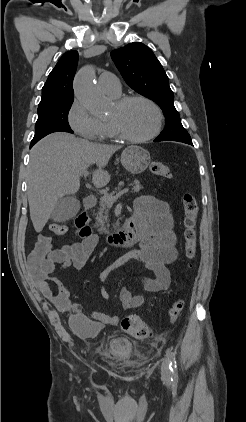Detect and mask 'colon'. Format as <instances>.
I'll return each mask as SVG.
<instances>
[{"mask_svg":"<svg viewBox=\"0 0 246 422\" xmlns=\"http://www.w3.org/2000/svg\"><path fill=\"white\" fill-rule=\"evenodd\" d=\"M151 171L154 175L171 178L172 173L169 167L162 162H153ZM184 210V253L188 260H192L196 254L197 231L196 222L198 215V203L194 195L186 193L183 196ZM68 228L64 224L54 223L50 225V231L53 235L61 236L67 232ZM52 251L51 238L46 235H40L35 243L33 250L28 257V266L36 279H42L47 276L52 265L49 260V254ZM184 302L181 299L176 300L169 309L168 315L171 323H175L183 310ZM122 328L137 339H147L151 336V330L147 324L137 315H128L122 320Z\"/></svg>","mask_w":246,"mask_h":422,"instance_id":"1","label":"colon"}]
</instances>
